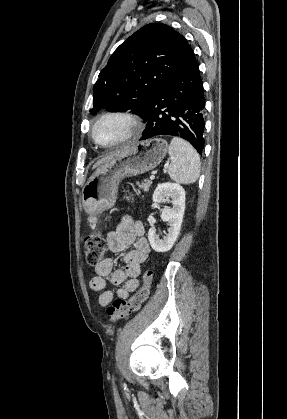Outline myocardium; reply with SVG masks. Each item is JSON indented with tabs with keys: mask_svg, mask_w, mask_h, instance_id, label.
Returning a JSON list of instances; mask_svg holds the SVG:
<instances>
[{
	"mask_svg": "<svg viewBox=\"0 0 287 419\" xmlns=\"http://www.w3.org/2000/svg\"><path fill=\"white\" fill-rule=\"evenodd\" d=\"M109 118H117V119H121L123 121H125L129 128H130V132L123 137L122 139L115 141L113 143H109V144H103L100 143L96 137H95V130L97 128V126L104 120L109 119ZM142 123L140 121V119L134 115L131 112L128 111H124V110H110L107 112H104L103 114H101L93 123L92 127H91V131H90V135H91V139L92 141L99 147L104 148V149H110V148H115V147H119L122 146L124 144H127L129 142H131L132 140L136 139L142 132Z\"/></svg>",
	"mask_w": 287,
	"mask_h": 419,
	"instance_id": "myocardium-1",
	"label": "myocardium"
}]
</instances>
